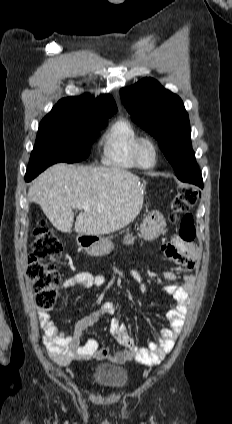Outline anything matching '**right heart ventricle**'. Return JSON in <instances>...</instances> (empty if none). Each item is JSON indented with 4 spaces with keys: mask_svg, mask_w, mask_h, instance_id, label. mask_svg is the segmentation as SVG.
<instances>
[{
    "mask_svg": "<svg viewBox=\"0 0 232 424\" xmlns=\"http://www.w3.org/2000/svg\"><path fill=\"white\" fill-rule=\"evenodd\" d=\"M141 136L138 128L129 119H117L101 137L102 163L121 170L138 168L133 157V147Z\"/></svg>",
    "mask_w": 232,
    "mask_h": 424,
    "instance_id": "1",
    "label": "right heart ventricle"
}]
</instances>
